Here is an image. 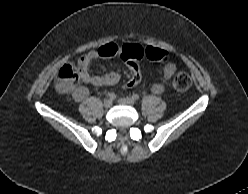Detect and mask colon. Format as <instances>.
<instances>
[{
  "label": "colon",
  "mask_w": 248,
  "mask_h": 194,
  "mask_svg": "<svg viewBox=\"0 0 248 194\" xmlns=\"http://www.w3.org/2000/svg\"><path fill=\"white\" fill-rule=\"evenodd\" d=\"M157 60L163 63L172 62V57L167 53L157 54ZM141 78L139 66H137L132 72V80L137 83ZM79 82V74L75 66L71 63L64 64L60 70L56 79V88L60 92L73 91ZM192 84L191 76L186 72H178L172 81L173 88L178 92L187 91Z\"/></svg>",
  "instance_id": "colon-1"
}]
</instances>
